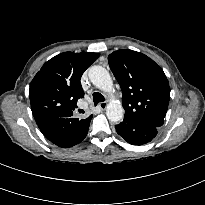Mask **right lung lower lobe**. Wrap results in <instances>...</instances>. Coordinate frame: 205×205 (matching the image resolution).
Returning a JSON list of instances; mask_svg holds the SVG:
<instances>
[{
	"mask_svg": "<svg viewBox=\"0 0 205 205\" xmlns=\"http://www.w3.org/2000/svg\"><path fill=\"white\" fill-rule=\"evenodd\" d=\"M89 124L86 125L83 132L76 138L69 139L65 134L66 119L53 118L38 125L42 134L57 146L68 148L80 143L87 135Z\"/></svg>",
	"mask_w": 205,
	"mask_h": 205,
	"instance_id": "98d812e1",
	"label": "right lung lower lobe"
}]
</instances>
